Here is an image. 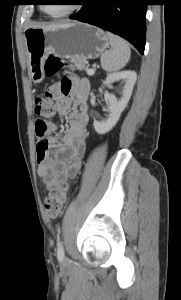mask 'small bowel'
<instances>
[{"label":"small bowel","instance_id":"1","mask_svg":"<svg viewBox=\"0 0 181 300\" xmlns=\"http://www.w3.org/2000/svg\"><path fill=\"white\" fill-rule=\"evenodd\" d=\"M49 93L55 97L57 113L67 116L69 125L59 140L52 136L58 125L47 122V137L37 142L38 175L51 191L61 182L74 178L81 168L87 144L89 83L76 76H66L53 84Z\"/></svg>","mask_w":181,"mask_h":300}]
</instances>
